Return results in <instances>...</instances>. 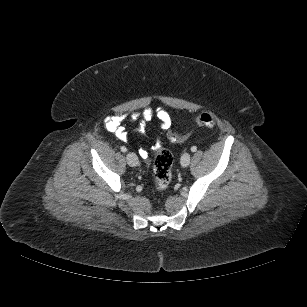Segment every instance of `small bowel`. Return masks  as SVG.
Returning a JSON list of instances; mask_svg holds the SVG:
<instances>
[{
	"label": "small bowel",
	"mask_w": 307,
	"mask_h": 307,
	"mask_svg": "<svg viewBox=\"0 0 307 307\" xmlns=\"http://www.w3.org/2000/svg\"><path fill=\"white\" fill-rule=\"evenodd\" d=\"M157 118L160 120V126L162 129H168L171 125V120L168 113L163 109L157 110ZM153 118V111L151 108H146L142 114L134 113L130 117L131 123H138L140 128H143L145 123ZM125 117L121 114L108 116L104 120V126L107 131L115 134L119 139L125 141L127 139V133L124 126ZM160 140H157L155 148L160 146ZM139 155L143 159L148 158V151L146 149H140Z\"/></svg>",
	"instance_id": "small-bowel-1"
}]
</instances>
